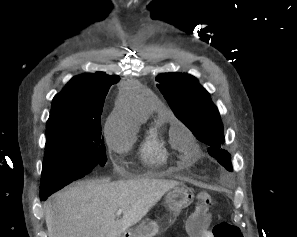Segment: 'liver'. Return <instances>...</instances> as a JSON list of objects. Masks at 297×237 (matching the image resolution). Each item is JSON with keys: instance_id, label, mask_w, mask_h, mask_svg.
I'll return each instance as SVG.
<instances>
[{"instance_id": "obj_1", "label": "liver", "mask_w": 297, "mask_h": 237, "mask_svg": "<svg viewBox=\"0 0 297 237\" xmlns=\"http://www.w3.org/2000/svg\"><path fill=\"white\" fill-rule=\"evenodd\" d=\"M179 184L153 178L79 182L57 193L53 203L46 202L49 237H121ZM118 209H123V216L116 220Z\"/></svg>"}]
</instances>
